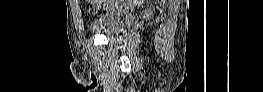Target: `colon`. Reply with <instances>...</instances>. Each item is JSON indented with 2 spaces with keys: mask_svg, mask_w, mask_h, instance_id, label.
<instances>
[{
  "mask_svg": "<svg viewBox=\"0 0 263 92\" xmlns=\"http://www.w3.org/2000/svg\"><path fill=\"white\" fill-rule=\"evenodd\" d=\"M125 4L129 5V4H131V2H127V3H125ZM91 10H93V9H91Z\"/></svg>",
  "mask_w": 263,
  "mask_h": 92,
  "instance_id": "obj_1",
  "label": "colon"
}]
</instances>
